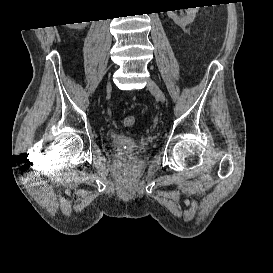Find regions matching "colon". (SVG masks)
Listing matches in <instances>:
<instances>
[{"label": "colon", "instance_id": "obj_1", "mask_svg": "<svg viewBox=\"0 0 273 273\" xmlns=\"http://www.w3.org/2000/svg\"><path fill=\"white\" fill-rule=\"evenodd\" d=\"M135 123H136V118L132 115L126 116L123 120V124L126 127H132L135 125Z\"/></svg>", "mask_w": 273, "mask_h": 273}]
</instances>
